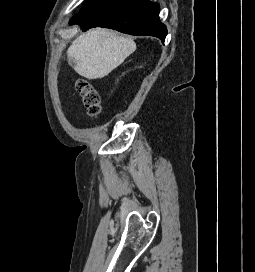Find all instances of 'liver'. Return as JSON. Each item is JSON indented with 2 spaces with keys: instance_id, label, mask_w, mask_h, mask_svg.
<instances>
[{
  "instance_id": "6515ba94",
  "label": "liver",
  "mask_w": 255,
  "mask_h": 272,
  "mask_svg": "<svg viewBox=\"0 0 255 272\" xmlns=\"http://www.w3.org/2000/svg\"><path fill=\"white\" fill-rule=\"evenodd\" d=\"M136 50V43L107 29L96 28L77 37L67 50L74 70L90 80L107 76Z\"/></svg>"
}]
</instances>
